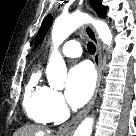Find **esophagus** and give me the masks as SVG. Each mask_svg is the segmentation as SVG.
<instances>
[{"label": "esophagus", "instance_id": "obj_1", "mask_svg": "<svg viewBox=\"0 0 136 136\" xmlns=\"http://www.w3.org/2000/svg\"><path fill=\"white\" fill-rule=\"evenodd\" d=\"M85 6H86L87 10H91L88 0L85 1ZM85 31H86L88 38L94 43V45L96 47V52L94 54V64H95V67L97 70L96 88H95V92L93 94V97L90 100V102L87 104V106L83 110H81L75 117H73L70 121L63 124L59 128V131L62 133L73 132V130L78 125V123L90 112V110L94 106V103H95V100H96V97H97V94L99 91V87H100V82H101V77H102V47H101V43H100V40H99L95 30L93 29V27L91 25H89V24L86 25Z\"/></svg>", "mask_w": 136, "mask_h": 136}]
</instances>
